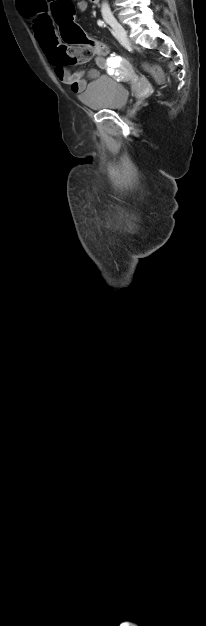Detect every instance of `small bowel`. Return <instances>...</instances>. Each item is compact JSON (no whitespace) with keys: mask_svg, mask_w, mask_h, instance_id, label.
Segmentation results:
<instances>
[{"mask_svg":"<svg viewBox=\"0 0 206 626\" xmlns=\"http://www.w3.org/2000/svg\"><path fill=\"white\" fill-rule=\"evenodd\" d=\"M87 8L88 4L85 0L77 1V9L80 12H85ZM29 16H34L33 31L35 39L48 60L55 65V74L58 80L69 85L73 92L81 93L87 86V78H94L97 76V71L90 70L87 75L84 71L71 72L63 64L59 63L57 60V52L60 44L54 33L51 22L45 17L44 14L36 13ZM109 62H116L117 68L121 72H126L129 68L128 62L116 55H111L109 58H105L100 53L97 57V64L100 67L110 68Z\"/></svg>","mask_w":206,"mask_h":626,"instance_id":"obj_1","label":"small bowel"}]
</instances>
